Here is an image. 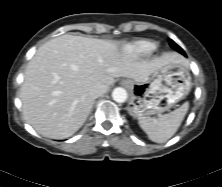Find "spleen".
<instances>
[{
    "mask_svg": "<svg viewBox=\"0 0 222 187\" xmlns=\"http://www.w3.org/2000/svg\"><path fill=\"white\" fill-rule=\"evenodd\" d=\"M188 108L189 104L185 102L174 111L157 118L143 117L139 119V125L151 141L164 143L177 132Z\"/></svg>",
    "mask_w": 222,
    "mask_h": 187,
    "instance_id": "spleen-1",
    "label": "spleen"
}]
</instances>
